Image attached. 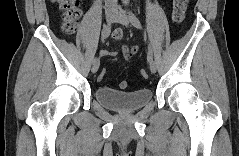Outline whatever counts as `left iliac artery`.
I'll return each instance as SVG.
<instances>
[{"mask_svg":"<svg viewBox=\"0 0 239 156\" xmlns=\"http://www.w3.org/2000/svg\"><path fill=\"white\" fill-rule=\"evenodd\" d=\"M129 19H130L131 23L133 24V26H135L138 29L142 28V25H141L139 19L132 12L129 13ZM147 60L149 63H151L153 61V55H152L150 46L148 47Z\"/></svg>","mask_w":239,"mask_h":156,"instance_id":"1","label":"left iliac artery"}]
</instances>
